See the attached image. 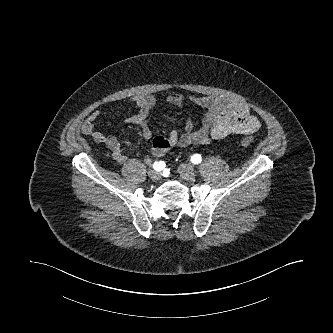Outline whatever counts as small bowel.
<instances>
[{"label":"small bowel","mask_w":333,"mask_h":333,"mask_svg":"<svg viewBox=\"0 0 333 333\" xmlns=\"http://www.w3.org/2000/svg\"><path fill=\"white\" fill-rule=\"evenodd\" d=\"M169 105L183 107L191 102L203 111V119L199 126H195L190 119L185 121L183 133L172 129L168 136H156L148 127L147 119L155 105L153 94L138 95L133 98L137 112L126 118V122L138 125L144 139H152V155L160 157L175 146L206 145L212 140L225 138L229 135H252L260 128L259 119L252 114L250 107L238 100L226 98H213L208 96L183 95L173 92L166 99ZM100 112L94 110L83 121L81 128L90 134L98 143L104 144L112 153L118 163L127 159L125 149L132 148L131 142L119 140L117 137L107 135L96 129L95 122Z\"/></svg>","instance_id":"1"}]
</instances>
